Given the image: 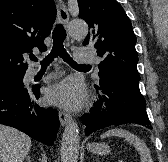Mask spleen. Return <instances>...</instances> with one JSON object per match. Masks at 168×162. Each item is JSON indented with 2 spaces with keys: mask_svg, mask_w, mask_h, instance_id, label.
Here are the masks:
<instances>
[{
  "mask_svg": "<svg viewBox=\"0 0 168 162\" xmlns=\"http://www.w3.org/2000/svg\"><path fill=\"white\" fill-rule=\"evenodd\" d=\"M111 136L122 137L128 143L132 144L135 147V149L138 151L141 162H153L151 153L147 148L146 144L133 133L124 129L116 128V129L108 130L105 133H103L101 135V139H104L106 137H111Z\"/></svg>",
  "mask_w": 168,
  "mask_h": 162,
  "instance_id": "1",
  "label": "spleen"
}]
</instances>
